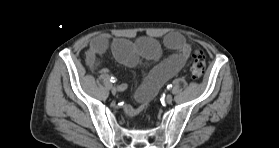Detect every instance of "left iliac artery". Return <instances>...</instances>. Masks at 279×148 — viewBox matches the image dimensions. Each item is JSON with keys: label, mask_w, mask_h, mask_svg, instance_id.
<instances>
[{"label": "left iliac artery", "mask_w": 279, "mask_h": 148, "mask_svg": "<svg viewBox=\"0 0 279 148\" xmlns=\"http://www.w3.org/2000/svg\"><path fill=\"white\" fill-rule=\"evenodd\" d=\"M167 89H168V90L172 89V85L169 84V85L167 86Z\"/></svg>", "instance_id": "44dca946"}]
</instances>
